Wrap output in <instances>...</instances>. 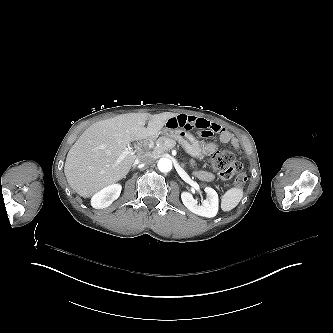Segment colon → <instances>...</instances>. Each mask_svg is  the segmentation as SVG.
I'll return each instance as SVG.
<instances>
[{"instance_id": "1", "label": "colon", "mask_w": 333, "mask_h": 333, "mask_svg": "<svg viewBox=\"0 0 333 333\" xmlns=\"http://www.w3.org/2000/svg\"><path fill=\"white\" fill-rule=\"evenodd\" d=\"M211 167L216 171L218 178L226 183V187L242 186L245 181L243 165L235 160L229 149H222L213 153Z\"/></svg>"}]
</instances>
